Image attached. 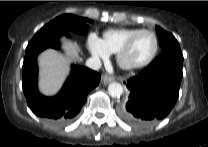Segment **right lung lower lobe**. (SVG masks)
Wrapping results in <instances>:
<instances>
[{
    "label": "right lung lower lobe",
    "mask_w": 208,
    "mask_h": 147,
    "mask_svg": "<svg viewBox=\"0 0 208 147\" xmlns=\"http://www.w3.org/2000/svg\"><path fill=\"white\" fill-rule=\"evenodd\" d=\"M69 36L58 31L50 36L31 40L25 51L23 62L22 85L26 101L32 112L54 124L70 122L86 102L88 93L95 88L101 75L87 67L72 66L71 75L67 78L61 91L54 97H45L38 92L37 56L46 48H59V38Z\"/></svg>",
    "instance_id": "1"
}]
</instances>
